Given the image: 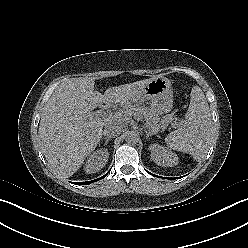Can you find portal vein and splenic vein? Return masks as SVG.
<instances>
[{
  "label": "portal vein and splenic vein",
  "instance_id": "obj_1",
  "mask_svg": "<svg viewBox=\"0 0 248 248\" xmlns=\"http://www.w3.org/2000/svg\"><path fill=\"white\" fill-rule=\"evenodd\" d=\"M117 118H119L118 117V115H114V116H112V115H110L109 116V119H112V120H116ZM138 120H139V118H137ZM176 125H178V124H176ZM154 131V130H153ZM155 132V131H154Z\"/></svg>",
  "mask_w": 248,
  "mask_h": 248
}]
</instances>
